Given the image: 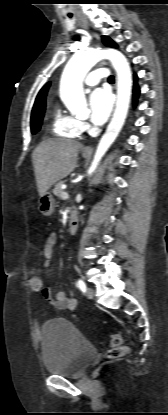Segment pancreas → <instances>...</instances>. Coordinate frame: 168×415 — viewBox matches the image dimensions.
<instances>
[{
	"instance_id": "obj_1",
	"label": "pancreas",
	"mask_w": 168,
	"mask_h": 415,
	"mask_svg": "<svg viewBox=\"0 0 168 415\" xmlns=\"http://www.w3.org/2000/svg\"><path fill=\"white\" fill-rule=\"evenodd\" d=\"M64 184L63 181L58 182L55 185V188L53 190L54 195H56L57 197L61 198L62 197V192H64V190L62 189V185Z\"/></svg>"
}]
</instances>
